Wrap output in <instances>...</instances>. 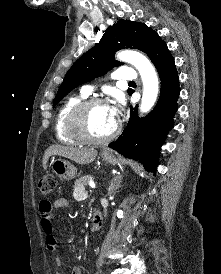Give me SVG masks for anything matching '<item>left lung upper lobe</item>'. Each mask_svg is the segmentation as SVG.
<instances>
[{"mask_svg": "<svg viewBox=\"0 0 221 274\" xmlns=\"http://www.w3.org/2000/svg\"><path fill=\"white\" fill-rule=\"evenodd\" d=\"M165 42L156 31L143 23L130 20H119L109 27L100 42L83 54L67 72L54 99L55 106L72 89L89 82L115 66L121 65L115 61L114 53L124 48H136L149 57ZM131 94L132 90H128Z\"/></svg>", "mask_w": 221, "mask_h": 274, "instance_id": "1", "label": "left lung upper lobe"}]
</instances>
